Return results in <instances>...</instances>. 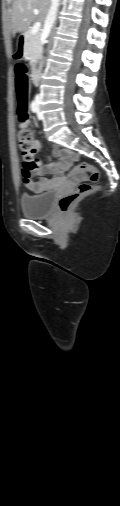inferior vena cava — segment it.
Wrapping results in <instances>:
<instances>
[{
    "instance_id": "1",
    "label": "inferior vena cava",
    "mask_w": 120,
    "mask_h": 506,
    "mask_svg": "<svg viewBox=\"0 0 120 506\" xmlns=\"http://www.w3.org/2000/svg\"><path fill=\"white\" fill-rule=\"evenodd\" d=\"M60 0H51V5L44 23V33L47 36L56 20ZM38 99V96L36 97Z\"/></svg>"
}]
</instances>
